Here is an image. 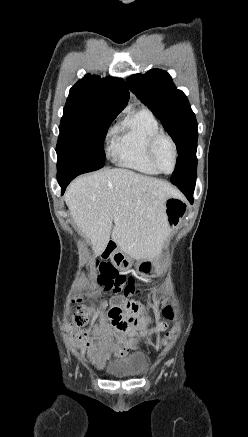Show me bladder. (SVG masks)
<instances>
[{
  "instance_id": "bladder-1",
  "label": "bladder",
  "mask_w": 248,
  "mask_h": 437,
  "mask_svg": "<svg viewBox=\"0 0 248 437\" xmlns=\"http://www.w3.org/2000/svg\"><path fill=\"white\" fill-rule=\"evenodd\" d=\"M148 361V356L145 353L139 352L132 359L125 360L114 365L109 374L115 378H133L138 376L142 367Z\"/></svg>"
}]
</instances>
